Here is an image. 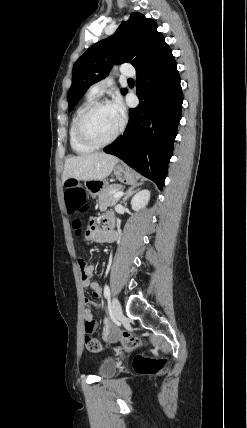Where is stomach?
<instances>
[{
	"label": "stomach",
	"mask_w": 247,
	"mask_h": 428,
	"mask_svg": "<svg viewBox=\"0 0 247 428\" xmlns=\"http://www.w3.org/2000/svg\"><path fill=\"white\" fill-rule=\"evenodd\" d=\"M114 175L116 178L125 184H134L136 178L134 173L124 165H116L113 168ZM84 186L87 192L92 196L96 197L99 195L100 191L107 186L106 180H89L84 182Z\"/></svg>",
	"instance_id": "obj_1"
}]
</instances>
